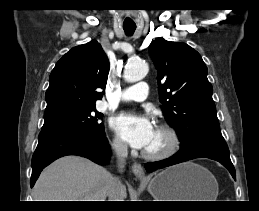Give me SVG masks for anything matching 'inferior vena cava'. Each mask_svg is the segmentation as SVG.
Returning <instances> with one entry per match:
<instances>
[{"mask_svg":"<svg viewBox=\"0 0 259 211\" xmlns=\"http://www.w3.org/2000/svg\"><path fill=\"white\" fill-rule=\"evenodd\" d=\"M113 148L119 158V166L122 168L125 163V158L128 155V148L127 145L117 141L113 144ZM123 188V184L118 178H113V181L111 183V187L109 189V200L108 201H122L123 199H120V191Z\"/></svg>","mask_w":259,"mask_h":211,"instance_id":"obj_1","label":"inferior vena cava"}]
</instances>
